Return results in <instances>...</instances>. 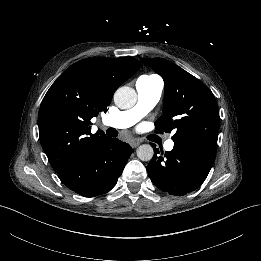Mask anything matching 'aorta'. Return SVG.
<instances>
[{"label":"aorta","mask_w":261,"mask_h":261,"mask_svg":"<svg viewBox=\"0 0 261 261\" xmlns=\"http://www.w3.org/2000/svg\"><path fill=\"white\" fill-rule=\"evenodd\" d=\"M137 102L136 91L128 86H122L114 93V103L120 109H130ZM154 155L151 145L144 144L138 147L137 157L142 161H150Z\"/></svg>","instance_id":"1"}]
</instances>
